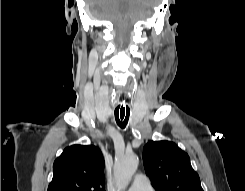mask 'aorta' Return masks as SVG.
<instances>
[{"label": "aorta", "instance_id": "762f6f07", "mask_svg": "<svg viewBox=\"0 0 245 191\" xmlns=\"http://www.w3.org/2000/svg\"><path fill=\"white\" fill-rule=\"evenodd\" d=\"M138 157L131 153L117 157L114 164V178L117 191H125L138 167Z\"/></svg>", "mask_w": 245, "mask_h": 191}]
</instances>
